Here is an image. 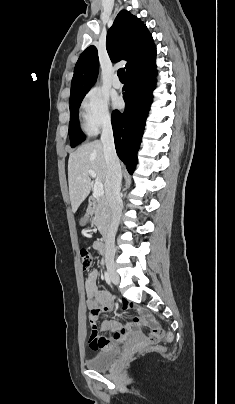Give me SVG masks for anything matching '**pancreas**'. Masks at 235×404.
<instances>
[{
    "mask_svg": "<svg viewBox=\"0 0 235 404\" xmlns=\"http://www.w3.org/2000/svg\"><path fill=\"white\" fill-rule=\"evenodd\" d=\"M93 223L98 228L102 235H105L108 221V207L105 201L100 200L97 202L93 210Z\"/></svg>",
    "mask_w": 235,
    "mask_h": 404,
    "instance_id": "cf45deb5",
    "label": "pancreas"
}]
</instances>
